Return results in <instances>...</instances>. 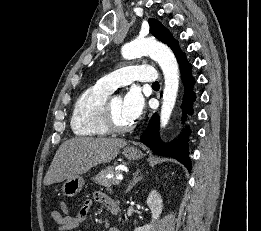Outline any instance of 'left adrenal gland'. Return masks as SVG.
<instances>
[{
  "label": "left adrenal gland",
  "instance_id": "1",
  "mask_svg": "<svg viewBox=\"0 0 261 231\" xmlns=\"http://www.w3.org/2000/svg\"><path fill=\"white\" fill-rule=\"evenodd\" d=\"M141 180H142V176H139V169H137L133 176L132 181L130 182V184L126 190V193L129 192L130 190H132L134 188V186Z\"/></svg>",
  "mask_w": 261,
  "mask_h": 231
}]
</instances>
